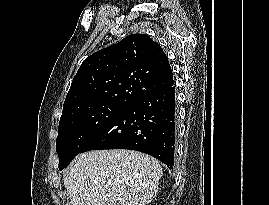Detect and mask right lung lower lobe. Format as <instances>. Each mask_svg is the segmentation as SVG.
I'll return each instance as SVG.
<instances>
[{"instance_id": "98d812e1", "label": "right lung lower lobe", "mask_w": 269, "mask_h": 205, "mask_svg": "<svg viewBox=\"0 0 269 205\" xmlns=\"http://www.w3.org/2000/svg\"><path fill=\"white\" fill-rule=\"evenodd\" d=\"M177 132L175 87L145 96L117 114L82 149H130L173 170Z\"/></svg>"}]
</instances>
